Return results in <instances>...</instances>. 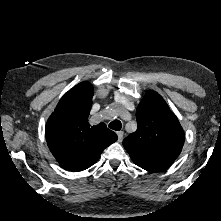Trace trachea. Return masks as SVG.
<instances>
[{
    "mask_svg": "<svg viewBox=\"0 0 221 221\" xmlns=\"http://www.w3.org/2000/svg\"><path fill=\"white\" fill-rule=\"evenodd\" d=\"M108 126L115 131H119L122 127V124L119 120H114Z\"/></svg>",
    "mask_w": 221,
    "mask_h": 221,
    "instance_id": "trachea-1",
    "label": "trachea"
}]
</instances>
